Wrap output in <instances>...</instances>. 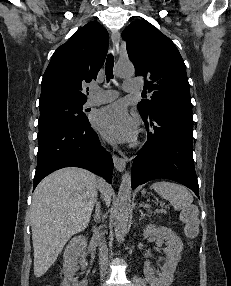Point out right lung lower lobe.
Wrapping results in <instances>:
<instances>
[{"mask_svg": "<svg viewBox=\"0 0 231 286\" xmlns=\"http://www.w3.org/2000/svg\"><path fill=\"white\" fill-rule=\"evenodd\" d=\"M38 142L34 188L53 171L75 166L88 169L112 183V157L101 147L88 120L62 122L39 130Z\"/></svg>", "mask_w": 231, "mask_h": 286, "instance_id": "obj_1", "label": "right lung lower lobe"}]
</instances>
